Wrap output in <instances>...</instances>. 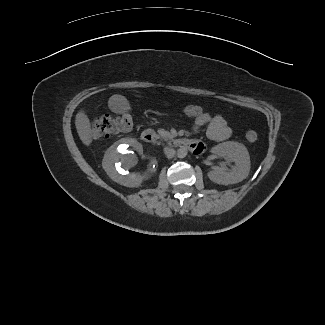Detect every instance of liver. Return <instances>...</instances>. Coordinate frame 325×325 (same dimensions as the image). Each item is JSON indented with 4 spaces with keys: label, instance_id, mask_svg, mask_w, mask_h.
Instances as JSON below:
<instances>
[{
    "label": "liver",
    "instance_id": "1",
    "mask_svg": "<svg viewBox=\"0 0 325 325\" xmlns=\"http://www.w3.org/2000/svg\"><path fill=\"white\" fill-rule=\"evenodd\" d=\"M109 108L115 112L117 107L122 108L123 110H127L129 108V103L127 99L122 95H112L108 101ZM75 125L77 129V133L83 142L84 145L90 146L93 138H92V129L90 119L83 109H81L75 118Z\"/></svg>",
    "mask_w": 325,
    "mask_h": 325
}]
</instances>
